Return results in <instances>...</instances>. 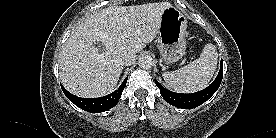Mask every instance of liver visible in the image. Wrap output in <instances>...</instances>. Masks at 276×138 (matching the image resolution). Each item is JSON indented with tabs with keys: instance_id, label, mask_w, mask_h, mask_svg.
I'll use <instances>...</instances> for the list:
<instances>
[{
	"instance_id": "6515ba94",
	"label": "liver",
	"mask_w": 276,
	"mask_h": 138,
	"mask_svg": "<svg viewBox=\"0 0 276 138\" xmlns=\"http://www.w3.org/2000/svg\"><path fill=\"white\" fill-rule=\"evenodd\" d=\"M168 2L110 6L80 23L67 39L59 59L63 86L85 98L111 93L123 70L121 56L140 52L159 32ZM101 42L100 53L94 43Z\"/></svg>"
}]
</instances>
